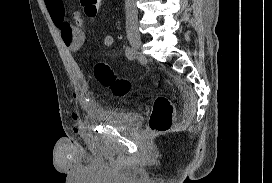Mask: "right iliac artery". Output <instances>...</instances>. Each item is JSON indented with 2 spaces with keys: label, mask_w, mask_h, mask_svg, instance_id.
<instances>
[{
  "label": "right iliac artery",
  "mask_w": 272,
  "mask_h": 183,
  "mask_svg": "<svg viewBox=\"0 0 272 183\" xmlns=\"http://www.w3.org/2000/svg\"><path fill=\"white\" fill-rule=\"evenodd\" d=\"M125 54H126V57L129 59V60H134L135 59V50L131 47H126V50H125Z\"/></svg>",
  "instance_id": "obj_1"
}]
</instances>
